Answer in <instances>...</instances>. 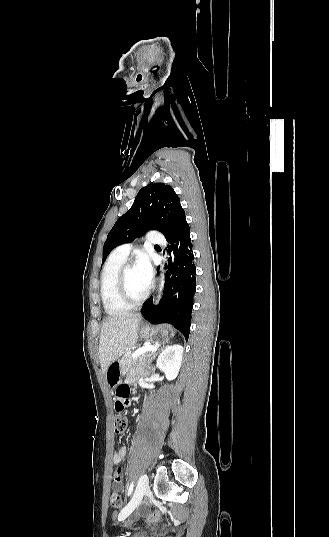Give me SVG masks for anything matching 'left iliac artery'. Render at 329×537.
<instances>
[{"label":"left iliac artery","mask_w":329,"mask_h":537,"mask_svg":"<svg viewBox=\"0 0 329 537\" xmlns=\"http://www.w3.org/2000/svg\"><path fill=\"white\" fill-rule=\"evenodd\" d=\"M133 487H134V482L132 481L129 485V488H128V491H127V496H130L132 491H133Z\"/></svg>","instance_id":"1"}]
</instances>
